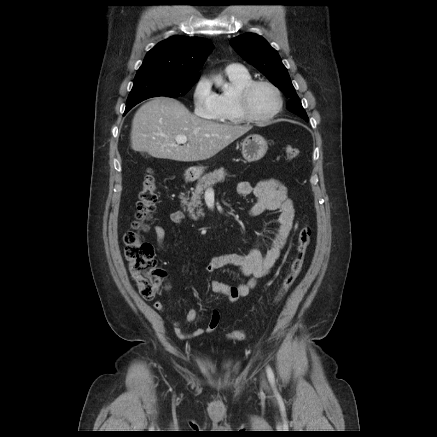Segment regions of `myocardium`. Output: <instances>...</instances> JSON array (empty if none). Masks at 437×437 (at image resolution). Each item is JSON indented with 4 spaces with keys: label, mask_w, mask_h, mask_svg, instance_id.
Segmentation results:
<instances>
[{
    "label": "myocardium",
    "mask_w": 437,
    "mask_h": 437,
    "mask_svg": "<svg viewBox=\"0 0 437 437\" xmlns=\"http://www.w3.org/2000/svg\"><path fill=\"white\" fill-rule=\"evenodd\" d=\"M267 86L269 88H271L273 90V92L276 95L277 98V107L275 108V110L268 116L265 117H259L256 116L252 110H251V106H250V99H251V95L254 91V89L258 86ZM237 102H238V108L239 111L242 115V117L249 122L252 123H266L269 122L271 120H273L274 118H276L279 113L282 111L283 108V97L281 94L280 89L272 82L268 81V80H252L249 83H247L238 93V97H237Z\"/></svg>",
    "instance_id": "f54148a6"
}]
</instances>
